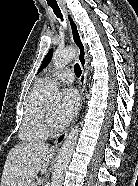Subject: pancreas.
I'll return each instance as SVG.
<instances>
[{"label":"pancreas","mask_w":138,"mask_h":186,"mask_svg":"<svg viewBox=\"0 0 138 186\" xmlns=\"http://www.w3.org/2000/svg\"><path fill=\"white\" fill-rule=\"evenodd\" d=\"M30 186H37V185H36V183L33 182L30 184Z\"/></svg>","instance_id":"pancreas-1"}]
</instances>
